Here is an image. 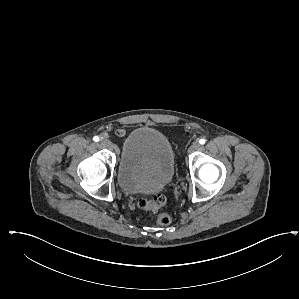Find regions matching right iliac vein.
I'll return each instance as SVG.
<instances>
[{
  "label": "right iliac vein",
  "instance_id": "right-iliac-vein-1",
  "mask_svg": "<svg viewBox=\"0 0 299 299\" xmlns=\"http://www.w3.org/2000/svg\"><path fill=\"white\" fill-rule=\"evenodd\" d=\"M100 143L104 146V147H106V148H112L113 147V144H112V142L108 139V138H102L101 140H100Z\"/></svg>",
  "mask_w": 299,
  "mask_h": 299
}]
</instances>
